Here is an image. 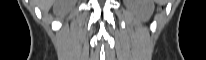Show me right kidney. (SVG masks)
<instances>
[{
	"instance_id": "ca27d5eb",
	"label": "right kidney",
	"mask_w": 206,
	"mask_h": 60,
	"mask_svg": "<svg viewBox=\"0 0 206 60\" xmlns=\"http://www.w3.org/2000/svg\"><path fill=\"white\" fill-rule=\"evenodd\" d=\"M59 5L57 4V6H56V11H60L61 13H64L65 11L64 10H59Z\"/></svg>"
}]
</instances>
